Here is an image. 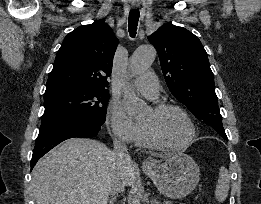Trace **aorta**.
Returning <instances> with one entry per match:
<instances>
[{"label":"aorta","mask_w":261,"mask_h":204,"mask_svg":"<svg viewBox=\"0 0 261 204\" xmlns=\"http://www.w3.org/2000/svg\"><path fill=\"white\" fill-rule=\"evenodd\" d=\"M156 51L152 46H142L135 50L130 58L129 67L133 74L145 72L152 64ZM124 104L128 115L132 118H140L146 112V103L133 91L127 89L124 92ZM130 204H140L139 197L134 195Z\"/></svg>","instance_id":"1"}]
</instances>
